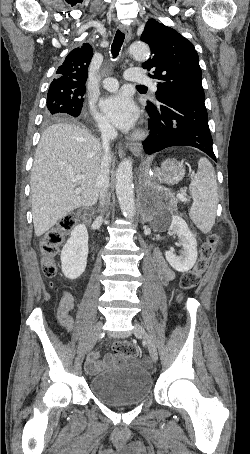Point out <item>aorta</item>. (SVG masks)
Here are the masks:
<instances>
[{"label":"aorta","mask_w":250,"mask_h":454,"mask_svg":"<svg viewBox=\"0 0 250 454\" xmlns=\"http://www.w3.org/2000/svg\"><path fill=\"white\" fill-rule=\"evenodd\" d=\"M129 53L136 59L146 60L150 55L149 47L144 42H133L128 49ZM133 162L131 159H124L116 171V195L123 215L132 219L135 216V200L133 186Z\"/></svg>","instance_id":"obj_1"}]
</instances>
